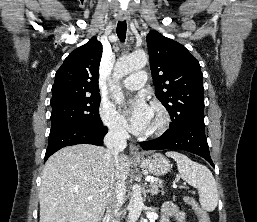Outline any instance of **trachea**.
Wrapping results in <instances>:
<instances>
[{
	"instance_id": "3493384b",
	"label": "trachea",
	"mask_w": 257,
	"mask_h": 222,
	"mask_svg": "<svg viewBox=\"0 0 257 222\" xmlns=\"http://www.w3.org/2000/svg\"><path fill=\"white\" fill-rule=\"evenodd\" d=\"M126 31H127L126 21H119L117 25V35L122 42H124L126 38Z\"/></svg>"
}]
</instances>
